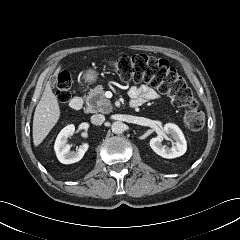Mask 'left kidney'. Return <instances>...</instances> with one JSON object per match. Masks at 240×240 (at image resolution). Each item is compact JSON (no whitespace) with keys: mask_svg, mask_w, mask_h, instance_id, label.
I'll use <instances>...</instances> for the list:
<instances>
[{"mask_svg":"<svg viewBox=\"0 0 240 240\" xmlns=\"http://www.w3.org/2000/svg\"><path fill=\"white\" fill-rule=\"evenodd\" d=\"M165 134L171 135L175 141V145L171 148L162 145V140ZM150 147L152 150L163 158L172 159L185 154L187 150V143L180 128L172 123L164 125L163 130L157 137L150 140Z\"/></svg>","mask_w":240,"mask_h":240,"instance_id":"1","label":"left kidney"}]
</instances>
